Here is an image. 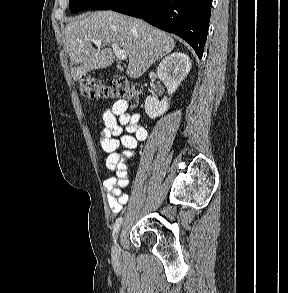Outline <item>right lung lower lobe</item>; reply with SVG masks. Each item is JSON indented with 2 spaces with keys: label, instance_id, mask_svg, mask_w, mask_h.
Instances as JSON below:
<instances>
[{
  "label": "right lung lower lobe",
  "instance_id": "1",
  "mask_svg": "<svg viewBox=\"0 0 288 293\" xmlns=\"http://www.w3.org/2000/svg\"><path fill=\"white\" fill-rule=\"evenodd\" d=\"M212 0H123L113 11L141 18L184 39L201 59Z\"/></svg>",
  "mask_w": 288,
  "mask_h": 293
}]
</instances>
